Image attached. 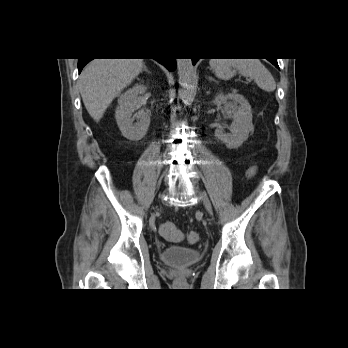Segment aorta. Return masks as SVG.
Listing matches in <instances>:
<instances>
[{
    "mask_svg": "<svg viewBox=\"0 0 348 348\" xmlns=\"http://www.w3.org/2000/svg\"><path fill=\"white\" fill-rule=\"evenodd\" d=\"M178 96L185 104L189 103L193 98L194 85L196 81L195 71L191 59H177Z\"/></svg>",
    "mask_w": 348,
    "mask_h": 348,
    "instance_id": "aorta-1",
    "label": "aorta"
}]
</instances>
